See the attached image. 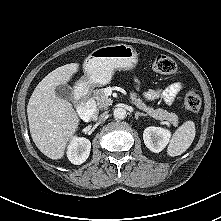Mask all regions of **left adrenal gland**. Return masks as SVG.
Masks as SVG:
<instances>
[{
    "label": "left adrenal gland",
    "mask_w": 221,
    "mask_h": 221,
    "mask_svg": "<svg viewBox=\"0 0 221 221\" xmlns=\"http://www.w3.org/2000/svg\"><path fill=\"white\" fill-rule=\"evenodd\" d=\"M139 116H146V114L141 113V112H136L135 113V119L137 120Z\"/></svg>",
    "instance_id": "obj_1"
}]
</instances>
